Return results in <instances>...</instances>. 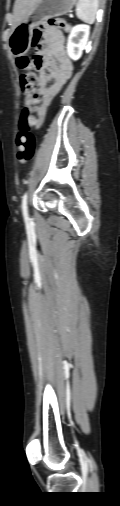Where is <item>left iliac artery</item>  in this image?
<instances>
[{
	"label": "left iliac artery",
	"instance_id": "left-iliac-artery-1",
	"mask_svg": "<svg viewBox=\"0 0 120 506\" xmlns=\"http://www.w3.org/2000/svg\"><path fill=\"white\" fill-rule=\"evenodd\" d=\"M22 213L25 219H28V208H27V192L22 197Z\"/></svg>",
	"mask_w": 120,
	"mask_h": 506
}]
</instances>
